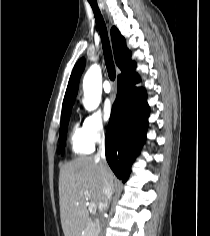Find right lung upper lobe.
<instances>
[{
	"mask_svg": "<svg viewBox=\"0 0 210 236\" xmlns=\"http://www.w3.org/2000/svg\"><path fill=\"white\" fill-rule=\"evenodd\" d=\"M111 40L113 46V52L115 57V62L117 66L120 68L122 74L132 70L135 68V62H133L130 57L131 53L126 48V42L124 37L120 34L116 27H112L111 29ZM85 60L81 58L77 64L75 65L72 74L69 79L68 87L65 93V97L63 100L62 112L66 110H71L75 97L78 91V84L80 75L84 69Z\"/></svg>",
	"mask_w": 210,
	"mask_h": 236,
	"instance_id": "right-lung-upper-lobe-1",
	"label": "right lung upper lobe"
}]
</instances>
